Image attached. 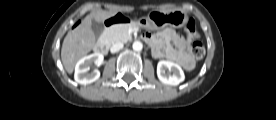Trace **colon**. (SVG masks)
<instances>
[{"mask_svg":"<svg viewBox=\"0 0 276 120\" xmlns=\"http://www.w3.org/2000/svg\"><path fill=\"white\" fill-rule=\"evenodd\" d=\"M117 14H122V15H126L122 12H113L110 14H107L105 16V19L111 18ZM128 15V14H127ZM131 16V15H128ZM87 22L85 17H80L78 21H76L75 23H70L69 24V29L70 30H75L76 28H81L83 25H85ZM113 28V27H111ZM185 35L186 38L192 43L191 45V55L193 56V58H195L196 60H201L204 56H205V46L204 44L198 39V31L196 29L195 23L193 20L189 19L186 23L185 26Z\"/></svg>","mask_w":276,"mask_h":120,"instance_id":"5ec220e1","label":"colon"}]
</instances>
